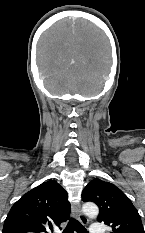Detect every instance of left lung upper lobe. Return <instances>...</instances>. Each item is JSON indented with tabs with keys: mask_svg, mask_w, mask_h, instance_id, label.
Returning a JSON list of instances; mask_svg holds the SVG:
<instances>
[{
	"mask_svg": "<svg viewBox=\"0 0 145 233\" xmlns=\"http://www.w3.org/2000/svg\"><path fill=\"white\" fill-rule=\"evenodd\" d=\"M82 199L98 205L97 220L110 226L111 233H145L137 209L114 184L94 179L83 190Z\"/></svg>",
	"mask_w": 145,
	"mask_h": 233,
	"instance_id": "5c2ea615",
	"label": "left lung upper lobe"
}]
</instances>
